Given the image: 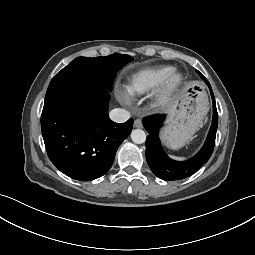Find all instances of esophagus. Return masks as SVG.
I'll use <instances>...</instances> for the list:
<instances>
[{"instance_id":"obj_1","label":"esophagus","mask_w":255,"mask_h":255,"mask_svg":"<svg viewBox=\"0 0 255 255\" xmlns=\"http://www.w3.org/2000/svg\"><path fill=\"white\" fill-rule=\"evenodd\" d=\"M134 126H135L136 128H141V127H142V121H141L140 119H136V120L134 121Z\"/></svg>"}]
</instances>
